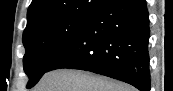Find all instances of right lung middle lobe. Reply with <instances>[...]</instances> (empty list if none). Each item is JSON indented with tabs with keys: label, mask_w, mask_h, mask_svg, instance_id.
<instances>
[{
	"label": "right lung middle lobe",
	"mask_w": 173,
	"mask_h": 91,
	"mask_svg": "<svg viewBox=\"0 0 173 91\" xmlns=\"http://www.w3.org/2000/svg\"><path fill=\"white\" fill-rule=\"evenodd\" d=\"M94 13L70 15L38 22L23 33L27 88L34 86L54 59L75 39Z\"/></svg>",
	"instance_id": "1"
}]
</instances>
